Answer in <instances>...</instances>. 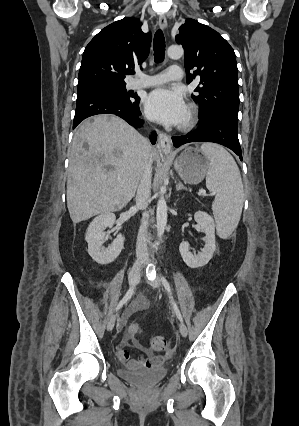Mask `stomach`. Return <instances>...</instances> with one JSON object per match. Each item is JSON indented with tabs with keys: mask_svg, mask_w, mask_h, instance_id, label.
<instances>
[{
	"mask_svg": "<svg viewBox=\"0 0 299 426\" xmlns=\"http://www.w3.org/2000/svg\"><path fill=\"white\" fill-rule=\"evenodd\" d=\"M174 167L185 183L198 184L207 175L210 161L199 149L187 147L174 161Z\"/></svg>",
	"mask_w": 299,
	"mask_h": 426,
	"instance_id": "1",
	"label": "stomach"
}]
</instances>
